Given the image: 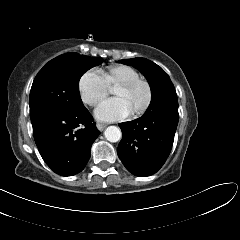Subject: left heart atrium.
I'll return each mask as SVG.
<instances>
[{"label": "left heart atrium", "mask_w": 240, "mask_h": 240, "mask_svg": "<svg viewBox=\"0 0 240 240\" xmlns=\"http://www.w3.org/2000/svg\"><path fill=\"white\" fill-rule=\"evenodd\" d=\"M132 109L122 97H112L103 100L95 109L94 114L101 121H117L130 115Z\"/></svg>", "instance_id": "39dd6f15"}]
</instances>
